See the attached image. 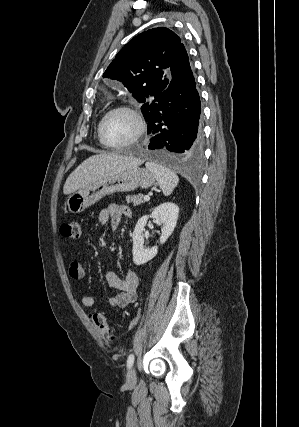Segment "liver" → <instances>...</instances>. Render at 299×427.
Wrapping results in <instances>:
<instances>
[{
  "label": "liver",
  "instance_id": "liver-1",
  "mask_svg": "<svg viewBox=\"0 0 299 427\" xmlns=\"http://www.w3.org/2000/svg\"><path fill=\"white\" fill-rule=\"evenodd\" d=\"M144 161L132 156L100 153L84 160L67 178L63 193L71 194L100 179L138 167Z\"/></svg>",
  "mask_w": 299,
  "mask_h": 427
}]
</instances>
